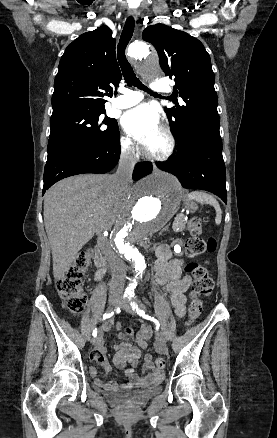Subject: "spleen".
<instances>
[{
  "instance_id": "1",
  "label": "spleen",
  "mask_w": 277,
  "mask_h": 438,
  "mask_svg": "<svg viewBox=\"0 0 277 438\" xmlns=\"http://www.w3.org/2000/svg\"><path fill=\"white\" fill-rule=\"evenodd\" d=\"M188 198L189 200L200 202V204H210V206H213L214 210H216L215 224H217V226L221 224L222 210L215 198H212L209 194H205V192H191V194H188Z\"/></svg>"
}]
</instances>
